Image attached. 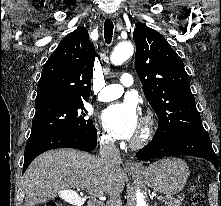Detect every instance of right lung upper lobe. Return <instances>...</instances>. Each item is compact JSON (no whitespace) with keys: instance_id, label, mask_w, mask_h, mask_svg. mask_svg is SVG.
<instances>
[{"instance_id":"1","label":"right lung upper lobe","mask_w":221,"mask_h":206,"mask_svg":"<svg viewBox=\"0 0 221 206\" xmlns=\"http://www.w3.org/2000/svg\"><path fill=\"white\" fill-rule=\"evenodd\" d=\"M94 60L88 31L80 27L69 33L43 67L35 106L88 101Z\"/></svg>"}]
</instances>
